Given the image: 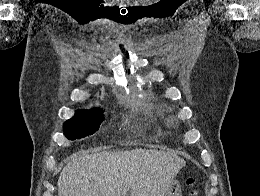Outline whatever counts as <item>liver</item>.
<instances>
[{"label": "liver", "instance_id": "liver-1", "mask_svg": "<svg viewBox=\"0 0 260 196\" xmlns=\"http://www.w3.org/2000/svg\"><path fill=\"white\" fill-rule=\"evenodd\" d=\"M186 162L159 150L77 152L62 170L59 196H164Z\"/></svg>", "mask_w": 260, "mask_h": 196}]
</instances>
